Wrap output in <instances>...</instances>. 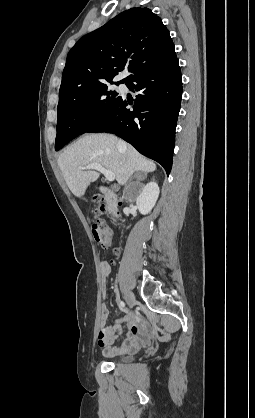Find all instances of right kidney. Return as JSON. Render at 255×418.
<instances>
[{"instance_id": "ca27d5eb", "label": "right kidney", "mask_w": 255, "mask_h": 418, "mask_svg": "<svg viewBox=\"0 0 255 418\" xmlns=\"http://www.w3.org/2000/svg\"><path fill=\"white\" fill-rule=\"evenodd\" d=\"M159 192V186L156 182H149L143 187L136 200L137 208L141 214L146 215L152 210L158 199Z\"/></svg>"}]
</instances>
